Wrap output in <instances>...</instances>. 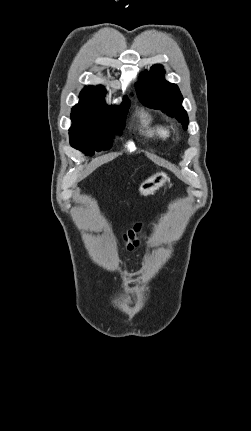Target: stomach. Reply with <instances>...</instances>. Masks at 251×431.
<instances>
[{
    "label": "stomach",
    "mask_w": 251,
    "mask_h": 431,
    "mask_svg": "<svg viewBox=\"0 0 251 431\" xmlns=\"http://www.w3.org/2000/svg\"><path fill=\"white\" fill-rule=\"evenodd\" d=\"M170 178L165 172H157L156 174L143 181L139 187L141 195H153L157 190L162 188Z\"/></svg>",
    "instance_id": "1"
}]
</instances>
